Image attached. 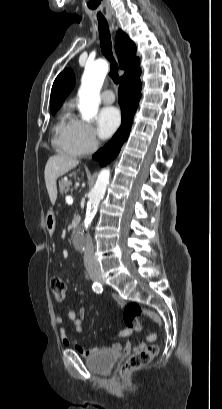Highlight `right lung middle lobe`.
Returning <instances> with one entry per match:
<instances>
[{
    "instance_id": "dd1d6c3e",
    "label": "right lung middle lobe",
    "mask_w": 222,
    "mask_h": 409,
    "mask_svg": "<svg viewBox=\"0 0 222 409\" xmlns=\"http://www.w3.org/2000/svg\"><path fill=\"white\" fill-rule=\"evenodd\" d=\"M56 111H52V114H54Z\"/></svg>"
}]
</instances>
